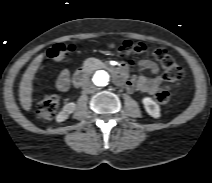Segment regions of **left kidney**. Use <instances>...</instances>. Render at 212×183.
Masks as SVG:
<instances>
[{"label":"left kidney","instance_id":"left-kidney-1","mask_svg":"<svg viewBox=\"0 0 212 183\" xmlns=\"http://www.w3.org/2000/svg\"><path fill=\"white\" fill-rule=\"evenodd\" d=\"M142 103L146 112L150 116H152L153 118H159L161 116L159 105L151 97H144L142 99Z\"/></svg>","mask_w":212,"mask_h":183}]
</instances>
